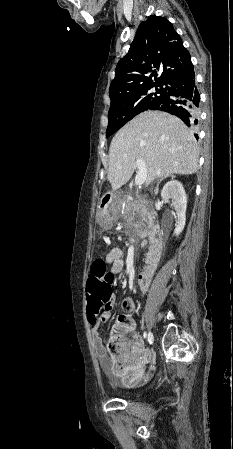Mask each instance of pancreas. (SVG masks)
<instances>
[{
    "label": "pancreas",
    "mask_w": 233,
    "mask_h": 449,
    "mask_svg": "<svg viewBox=\"0 0 233 449\" xmlns=\"http://www.w3.org/2000/svg\"><path fill=\"white\" fill-rule=\"evenodd\" d=\"M135 215H138L141 219L137 221L138 225L147 223L150 218L149 204L138 194L135 196H130L124 207V218L129 224L135 222Z\"/></svg>",
    "instance_id": "obj_1"
}]
</instances>
